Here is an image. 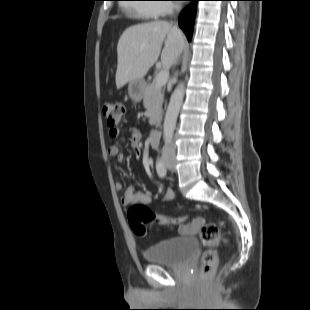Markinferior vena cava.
<instances>
[{
    "instance_id": "1",
    "label": "inferior vena cava",
    "mask_w": 310,
    "mask_h": 310,
    "mask_svg": "<svg viewBox=\"0 0 310 310\" xmlns=\"http://www.w3.org/2000/svg\"><path fill=\"white\" fill-rule=\"evenodd\" d=\"M175 150L171 144H165L163 148V155L174 154Z\"/></svg>"
}]
</instances>
